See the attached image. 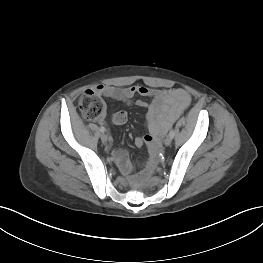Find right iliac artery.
<instances>
[{"mask_svg":"<svg viewBox=\"0 0 263 263\" xmlns=\"http://www.w3.org/2000/svg\"><path fill=\"white\" fill-rule=\"evenodd\" d=\"M105 130H106L105 127H103V126L100 127V131H101L102 133H104Z\"/></svg>","mask_w":263,"mask_h":263,"instance_id":"82829eb1","label":"right iliac artery"}]
</instances>
